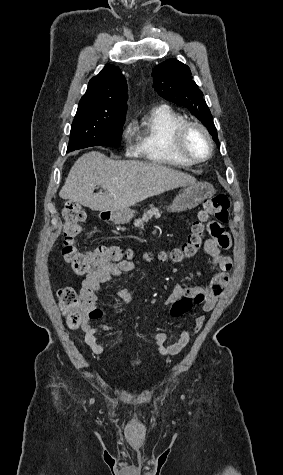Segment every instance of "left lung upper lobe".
<instances>
[{"instance_id": "5c2ea615", "label": "left lung upper lobe", "mask_w": 283, "mask_h": 475, "mask_svg": "<svg viewBox=\"0 0 283 475\" xmlns=\"http://www.w3.org/2000/svg\"><path fill=\"white\" fill-rule=\"evenodd\" d=\"M154 88L160 96L179 106H185L197 117L220 146L210 110L203 99V93L192 80L188 66L176 59L157 65L153 72Z\"/></svg>"}]
</instances>
